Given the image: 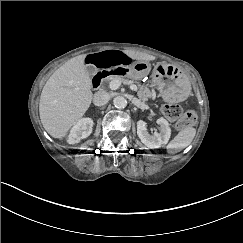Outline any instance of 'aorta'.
I'll return each instance as SVG.
<instances>
[{
  "label": "aorta",
  "instance_id": "aorta-1",
  "mask_svg": "<svg viewBox=\"0 0 243 243\" xmlns=\"http://www.w3.org/2000/svg\"><path fill=\"white\" fill-rule=\"evenodd\" d=\"M113 104L117 109H124L127 106V99L122 95H117L113 99Z\"/></svg>",
  "mask_w": 243,
  "mask_h": 243
}]
</instances>
